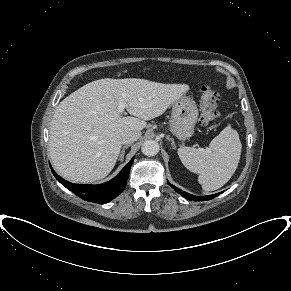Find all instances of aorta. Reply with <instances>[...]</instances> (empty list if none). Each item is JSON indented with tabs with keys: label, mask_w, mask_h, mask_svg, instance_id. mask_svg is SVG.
Listing matches in <instances>:
<instances>
[{
	"label": "aorta",
	"mask_w": 291,
	"mask_h": 291,
	"mask_svg": "<svg viewBox=\"0 0 291 291\" xmlns=\"http://www.w3.org/2000/svg\"><path fill=\"white\" fill-rule=\"evenodd\" d=\"M141 151L146 156H154L159 152V144L155 140H146L142 144Z\"/></svg>",
	"instance_id": "762f6f07"
}]
</instances>
